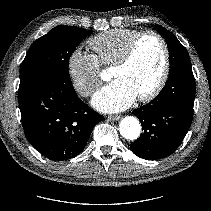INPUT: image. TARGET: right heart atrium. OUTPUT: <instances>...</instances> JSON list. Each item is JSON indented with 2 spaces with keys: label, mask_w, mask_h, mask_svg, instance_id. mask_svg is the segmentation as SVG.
<instances>
[{
  "label": "right heart atrium",
  "mask_w": 211,
  "mask_h": 211,
  "mask_svg": "<svg viewBox=\"0 0 211 211\" xmlns=\"http://www.w3.org/2000/svg\"><path fill=\"white\" fill-rule=\"evenodd\" d=\"M67 71L75 91L90 97L100 85V68L95 56L75 48L67 59Z\"/></svg>",
  "instance_id": "d8ad5b80"
}]
</instances>
